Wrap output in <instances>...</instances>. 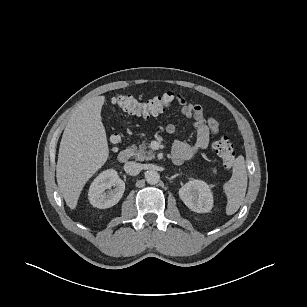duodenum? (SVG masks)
I'll use <instances>...</instances> for the list:
<instances>
[{
    "instance_id": "obj_1",
    "label": "duodenum",
    "mask_w": 307,
    "mask_h": 307,
    "mask_svg": "<svg viewBox=\"0 0 307 307\" xmlns=\"http://www.w3.org/2000/svg\"><path fill=\"white\" fill-rule=\"evenodd\" d=\"M131 155H132L131 150H129V149L122 150L118 154V160L121 163H125V162H127L131 158Z\"/></svg>"
}]
</instances>
